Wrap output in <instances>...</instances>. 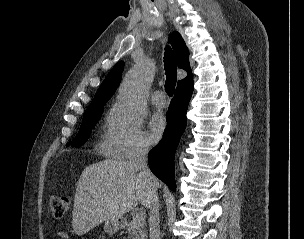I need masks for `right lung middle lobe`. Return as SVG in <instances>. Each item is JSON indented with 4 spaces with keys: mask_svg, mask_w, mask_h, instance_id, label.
Instances as JSON below:
<instances>
[{
    "mask_svg": "<svg viewBox=\"0 0 304 239\" xmlns=\"http://www.w3.org/2000/svg\"><path fill=\"white\" fill-rule=\"evenodd\" d=\"M102 112H103V106L87 109L83 115L85 118L81 124L79 133L77 134L73 142L68 143L67 146L69 145L72 147L82 146L89 138L91 129L97 123Z\"/></svg>",
    "mask_w": 304,
    "mask_h": 239,
    "instance_id": "right-lung-middle-lobe-1",
    "label": "right lung middle lobe"
}]
</instances>
